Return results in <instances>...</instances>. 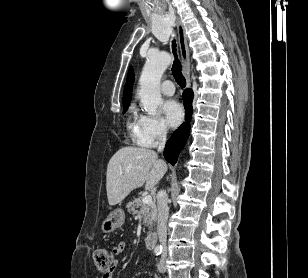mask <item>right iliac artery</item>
Returning <instances> with one entry per match:
<instances>
[{
    "instance_id": "1",
    "label": "right iliac artery",
    "mask_w": 308,
    "mask_h": 278,
    "mask_svg": "<svg viewBox=\"0 0 308 278\" xmlns=\"http://www.w3.org/2000/svg\"><path fill=\"white\" fill-rule=\"evenodd\" d=\"M162 253V247L160 246H158V247H156L155 249H154V254L155 255H160Z\"/></svg>"
}]
</instances>
